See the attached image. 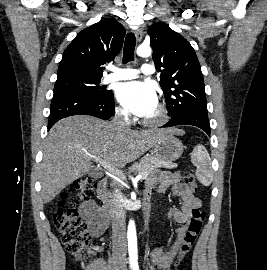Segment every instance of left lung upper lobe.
I'll return each instance as SVG.
<instances>
[{
	"label": "left lung upper lobe",
	"instance_id": "5c2ea615",
	"mask_svg": "<svg viewBox=\"0 0 267 270\" xmlns=\"http://www.w3.org/2000/svg\"><path fill=\"white\" fill-rule=\"evenodd\" d=\"M148 34L153 61L159 72L164 68L160 85L168 112L172 117L193 112L208 115L203 75L190 43L164 23L153 24Z\"/></svg>",
	"mask_w": 267,
	"mask_h": 270
}]
</instances>
